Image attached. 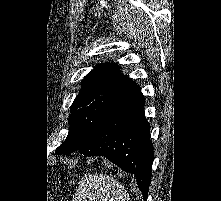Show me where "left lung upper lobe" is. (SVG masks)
<instances>
[{"label": "left lung upper lobe", "mask_w": 221, "mask_h": 201, "mask_svg": "<svg viewBox=\"0 0 221 201\" xmlns=\"http://www.w3.org/2000/svg\"><path fill=\"white\" fill-rule=\"evenodd\" d=\"M139 89L114 63L96 66L82 82L71 106L69 133L56 149L58 155L77 151L99 126L106 114Z\"/></svg>", "instance_id": "obj_1"}]
</instances>
